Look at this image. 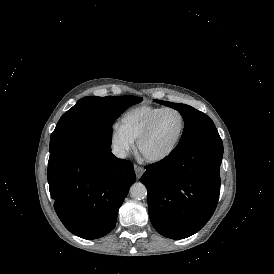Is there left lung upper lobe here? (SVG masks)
<instances>
[{
    "instance_id": "obj_1",
    "label": "left lung upper lobe",
    "mask_w": 274,
    "mask_h": 274,
    "mask_svg": "<svg viewBox=\"0 0 274 274\" xmlns=\"http://www.w3.org/2000/svg\"><path fill=\"white\" fill-rule=\"evenodd\" d=\"M155 101L178 110L185 122L182 137L171 153L181 152L200 143L221 140L213 121L203 112L185 104Z\"/></svg>"
}]
</instances>
